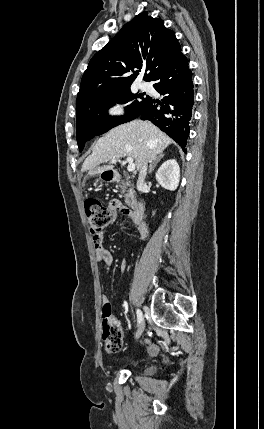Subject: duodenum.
<instances>
[{
	"instance_id": "1",
	"label": "duodenum",
	"mask_w": 264,
	"mask_h": 429,
	"mask_svg": "<svg viewBox=\"0 0 264 429\" xmlns=\"http://www.w3.org/2000/svg\"><path fill=\"white\" fill-rule=\"evenodd\" d=\"M112 180L118 181L121 179V175L118 173H113L111 175ZM145 212V203L141 200H137L133 204V211L131 213V220L134 224H140L143 220V215Z\"/></svg>"
}]
</instances>
